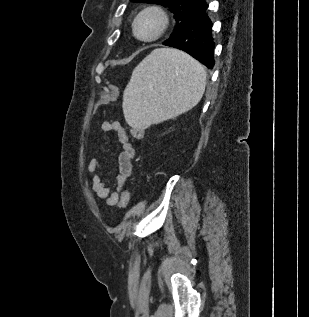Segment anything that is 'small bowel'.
<instances>
[{"instance_id":"obj_1","label":"small bowel","mask_w":309,"mask_h":317,"mask_svg":"<svg viewBox=\"0 0 309 317\" xmlns=\"http://www.w3.org/2000/svg\"><path fill=\"white\" fill-rule=\"evenodd\" d=\"M102 129L106 132H114L117 135L121 152L118 155V174L116 176V189L111 190L101 175L97 172L102 169L101 162L94 158L91 159L87 170L92 175L91 187L96 196L104 199L107 206H114L120 202L121 192L126 181L132 174V159L134 157V149L129 142L128 134L125 127L112 120L104 121Z\"/></svg>"}]
</instances>
